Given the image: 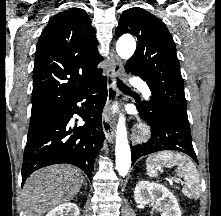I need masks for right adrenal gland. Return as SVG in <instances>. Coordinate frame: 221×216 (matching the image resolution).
<instances>
[{
	"label": "right adrenal gland",
	"instance_id": "1",
	"mask_svg": "<svg viewBox=\"0 0 221 216\" xmlns=\"http://www.w3.org/2000/svg\"><path fill=\"white\" fill-rule=\"evenodd\" d=\"M84 185H85V189H87V184H86V183H84Z\"/></svg>",
	"mask_w": 221,
	"mask_h": 216
}]
</instances>
